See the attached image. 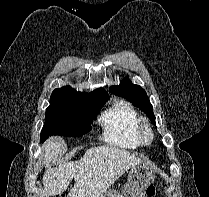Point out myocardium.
I'll return each mask as SVG.
<instances>
[{"instance_id":"myocardium-1","label":"myocardium","mask_w":209,"mask_h":197,"mask_svg":"<svg viewBox=\"0 0 209 197\" xmlns=\"http://www.w3.org/2000/svg\"><path fill=\"white\" fill-rule=\"evenodd\" d=\"M137 136L139 143L142 145H150L153 142L155 137L154 130L146 120L139 121Z\"/></svg>"}]
</instances>
